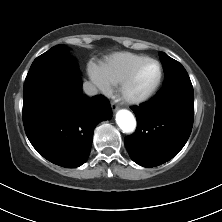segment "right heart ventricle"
Segmentation results:
<instances>
[{
  "label": "right heart ventricle",
  "instance_id": "1",
  "mask_svg": "<svg viewBox=\"0 0 222 222\" xmlns=\"http://www.w3.org/2000/svg\"><path fill=\"white\" fill-rule=\"evenodd\" d=\"M147 57L131 52H119L109 56L98 67L100 77L110 86L118 85L139 62Z\"/></svg>",
  "mask_w": 222,
  "mask_h": 222
}]
</instances>
